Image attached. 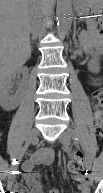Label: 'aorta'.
I'll use <instances>...</instances> for the list:
<instances>
[{
	"instance_id": "aorta-1",
	"label": "aorta",
	"mask_w": 103,
	"mask_h": 193,
	"mask_svg": "<svg viewBox=\"0 0 103 193\" xmlns=\"http://www.w3.org/2000/svg\"><path fill=\"white\" fill-rule=\"evenodd\" d=\"M73 8L71 0H57L56 22L57 33L60 38H64L72 24Z\"/></svg>"
}]
</instances>
